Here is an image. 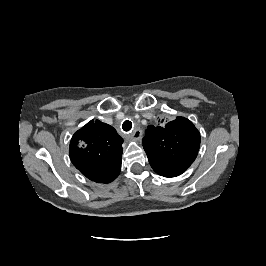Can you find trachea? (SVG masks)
I'll use <instances>...</instances> for the list:
<instances>
[{"mask_svg": "<svg viewBox=\"0 0 266 266\" xmlns=\"http://www.w3.org/2000/svg\"><path fill=\"white\" fill-rule=\"evenodd\" d=\"M122 129L126 132L130 131L132 129V122L129 120H125L122 124Z\"/></svg>", "mask_w": 266, "mask_h": 266, "instance_id": "3493384b", "label": "trachea"}]
</instances>
